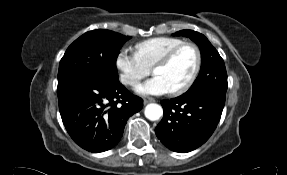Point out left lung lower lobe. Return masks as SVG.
Listing matches in <instances>:
<instances>
[{
  "mask_svg": "<svg viewBox=\"0 0 287 175\" xmlns=\"http://www.w3.org/2000/svg\"><path fill=\"white\" fill-rule=\"evenodd\" d=\"M161 104L164 115L155 133L167 148L184 153L195 150L212 135L221 118L225 95L184 93Z\"/></svg>",
  "mask_w": 287,
  "mask_h": 175,
  "instance_id": "left-lung-lower-lobe-1",
  "label": "left lung lower lobe"
}]
</instances>
